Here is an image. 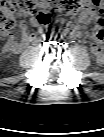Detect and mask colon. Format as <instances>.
Wrapping results in <instances>:
<instances>
[{
	"label": "colon",
	"mask_w": 104,
	"mask_h": 137,
	"mask_svg": "<svg viewBox=\"0 0 104 137\" xmlns=\"http://www.w3.org/2000/svg\"><path fill=\"white\" fill-rule=\"evenodd\" d=\"M88 9L104 10V0H5L0 6V24L6 33L16 27L20 18L32 16L38 23L47 25L53 12L70 15ZM94 34L100 42L103 37L101 23H98ZM95 48L102 50L100 43Z\"/></svg>",
	"instance_id": "1"
}]
</instances>
